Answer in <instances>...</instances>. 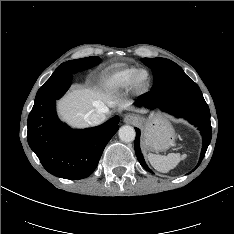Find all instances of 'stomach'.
<instances>
[{"label": "stomach", "instance_id": "stomach-1", "mask_svg": "<svg viewBox=\"0 0 234 234\" xmlns=\"http://www.w3.org/2000/svg\"><path fill=\"white\" fill-rule=\"evenodd\" d=\"M143 122V146L150 151H165L175 143V131L171 123L160 114H151Z\"/></svg>", "mask_w": 234, "mask_h": 234}]
</instances>
